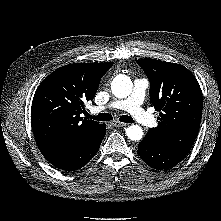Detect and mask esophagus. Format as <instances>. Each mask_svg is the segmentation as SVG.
Here are the masks:
<instances>
[{
  "instance_id": "esophagus-1",
  "label": "esophagus",
  "mask_w": 221,
  "mask_h": 221,
  "mask_svg": "<svg viewBox=\"0 0 221 221\" xmlns=\"http://www.w3.org/2000/svg\"><path fill=\"white\" fill-rule=\"evenodd\" d=\"M112 125L114 127H124V126H127V123H123V122H120V121H113Z\"/></svg>"
}]
</instances>
